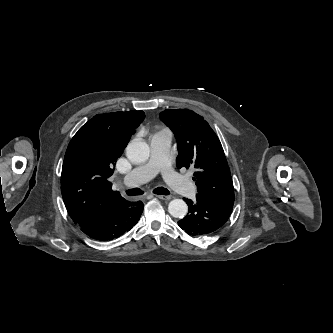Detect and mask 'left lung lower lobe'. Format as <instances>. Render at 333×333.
Returning a JSON list of instances; mask_svg holds the SVG:
<instances>
[{
  "instance_id": "obj_1",
  "label": "left lung lower lobe",
  "mask_w": 333,
  "mask_h": 333,
  "mask_svg": "<svg viewBox=\"0 0 333 333\" xmlns=\"http://www.w3.org/2000/svg\"><path fill=\"white\" fill-rule=\"evenodd\" d=\"M189 214L178 221V225L189 235L200 236L212 233L228 220L233 206L211 203L196 195V200L184 198Z\"/></svg>"
}]
</instances>
